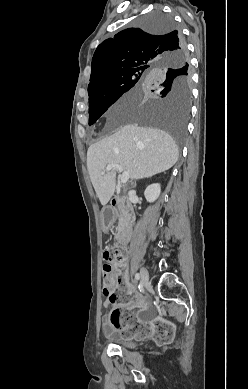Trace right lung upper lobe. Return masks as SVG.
I'll list each match as a JSON object with an SVG mask.
<instances>
[{
  "label": "right lung upper lobe",
  "instance_id": "cb5924a9",
  "mask_svg": "<svg viewBox=\"0 0 248 389\" xmlns=\"http://www.w3.org/2000/svg\"><path fill=\"white\" fill-rule=\"evenodd\" d=\"M180 36L177 30L152 33L128 28L106 39L92 58L88 94L107 86L120 74L132 70L148 72L171 57L187 59L184 42L178 47Z\"/></svg>",
  "mask_w": 248,
  "mask_h": 389
}]
</instances>
